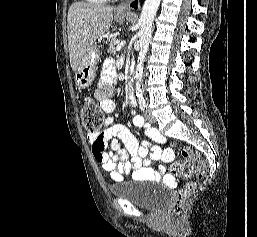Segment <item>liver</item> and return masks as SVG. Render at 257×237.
<instances>
[{
    "label": "liver",
    "mask_w": 257,
    "mask_h": 237,
    "mask_svg": "<svg viewBox=\"0 0 257 237\" xmlns=\"http://www.w3.org/2000/svg\"><path fill=\"white\" fill-rule=\"evenodd\" d=\"M113 7L73 3L68 11V47L70 64L76 71L83 56L97 39L109 29L113 20Z\"/></svg>",
    "instance_id": "liver-1"
}]
</instances>
